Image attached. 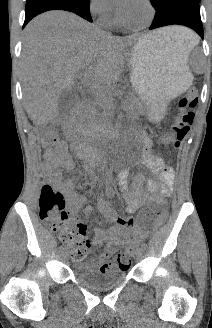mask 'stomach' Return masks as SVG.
I'll use <instances>...</instances> for the list:
<instances>
[{"label": "stomach", "instance_id": "obj_1", "mask_svg": "<svg viewBox=\"0 0 212 328\" xmlns=\"http://www.w3.org/2000/svg\"><path fill=\"white\" fill-rule=\"evenodd\" d=\"M187 59L182 48L150 36L140 38L133 47L131 82L137 95L147 103L151 118L160 119L166 100L191 85L193 77Z\"/></svg>", "mask_w": 212, "mask_h": 328}]
</instances>
